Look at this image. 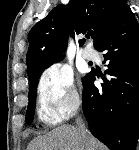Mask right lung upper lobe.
Wrapping results in <instances>:
<instances>
[{"label": "right lung upper lobe", "mask_w": 139, "mask_h": 150, "mask_svg": "<svg viewBox=\"0 0 139 150\" xmlns=\"http://www.w3.org/2000/svg\"><path fill=\"white\" fill-rule=\"evenodd\" d=\"M128 10L126 0H70L68 5L53 8L29 32L26 56L29 79L64 57L69 35L91 31L96 49Z\"/></svg>", "instance_id": "right-lung-upper-lobe-1"}]
</instances>
